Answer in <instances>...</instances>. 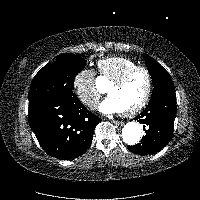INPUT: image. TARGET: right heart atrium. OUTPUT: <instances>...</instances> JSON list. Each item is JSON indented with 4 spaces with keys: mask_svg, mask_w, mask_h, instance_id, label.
Returning <instances> with one entry per match:
<instances>
[{
    "mask_svg": "<svg viewBox=\"0 0 200 200\" xmlns=\"http://www.w3.org/2000/svg\"><path fill=\"white\" fill-rule=\"evenodd\" d=\"M72 85L79 100L89 108L96 105L102 94L96 84L94 71L91 69L79 70L73 78Z\"/></svg>",
    "mask_w": 200,
    "mask_h": 200,
    "instance_id": "1",
    "label": "right heart atrium"
}]
</instances>
